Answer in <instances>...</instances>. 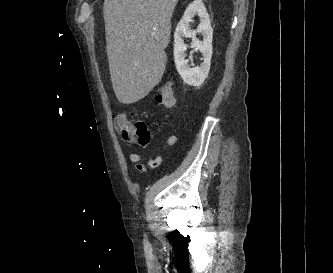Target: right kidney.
Returning a JSON list of instances; mask_svg holds the SVG:
<instances>
[{
	"label": "right kidney",
	"mask_w": 333,
	"mask_h": 273,
	"mask_svg": "<svg viewBox=\"0 0 333 273\" xmlns=\"http://www.w3.org/2000/svg\"><path fill=\"white\" fill-rule=\"evenodd\" d=\"M195 15L199 16L200 24L197 30H192L190 22ZM196 33L203 35V41H199L196 38ZM183 37L192 38L191 47L198 49L202 53L204 61L200 66L190 68L188 65L189 60L185 59V52L188 46L184 43ZM212 37L213 29L206 8L202 0H195L186 8L174 33V61L176 69L187 85L200 86L207 78L212 57Z\"/></svg>",
	"instance_id": "right-kidney-1"
}]
</instances>
